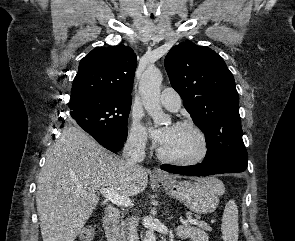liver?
I'll list each match as a JSON object with an SVG mask.
<instances>
[{"label": "liver", "instance_id": "liver-1", "mask_svg": "<svg viewBox=\"0 0 295 241\" xmlns=\"http://www.w3.org/2000/svg\"><path fill=\"white\" fill-rule=\"evenodd\" d=\"M208 184L214 178L202 179ZM148 184L147 171H128L122 158L76 127L65 129L48 149L37 180L36 204L43 241H74L99 201L96 191L136 196Z\"/></svg>", "mask_w": 295, "mask_h": 241}]
</instances>
